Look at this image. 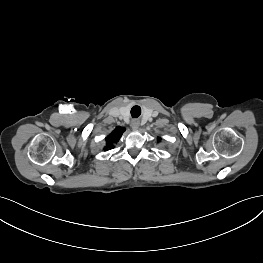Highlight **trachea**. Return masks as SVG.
I'll use <instances>...</instances> for the list:
<instances>
[{"label":"trachea","mask_w":263,"mask_h":263,"mask_svg":"<svg viewBox=\"0 0 263 263\" xmlns=\"http://www.w3.org/2000/svg\"><path fill=\"white\" fill-rule=\"evenodd\" d=\"M134 108H138V107H134ZM131 113H132V111H131ZM132 116L134 117V115L132 114Z\"/></svg>","instance_id":"trachea-1"}]
</instances>
